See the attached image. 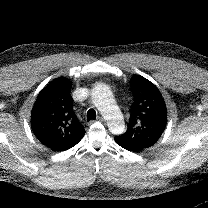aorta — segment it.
I'll return each mask as SVG.
<instances>
[{"label": "aorta", "mask_w": 208, "mask_h": 208, "mask_svg": "<svg viewBox=\"0 0 208 208\" xmlns=\"http://www.w3.org/2000/svg\"><path fill=\"white\" fill-rule=\"evenodd\" d=\"M92 101L103 117L113 134H122L125 130L123 115L116 104L110 88L104 83H97L92 90Z\"/></svg>", "instance_id": "1"}]
</instances>
